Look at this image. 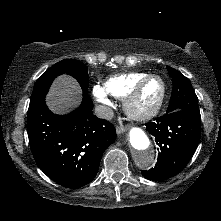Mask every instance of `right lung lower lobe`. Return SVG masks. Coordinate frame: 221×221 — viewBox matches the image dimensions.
Instances as JSON below:
<instances>
[{
    "label": "right lung lower lobe",
    "mask_w": 221,
    "mask_h": 221,
    "mask_svg": "<svg viewBox=\"0 0 221 221\" xmlns=\"http://www.w3.org/2000/svg\"><path fill=\"white\" fill-rule=\"evenodd\" d=\"M83 92L81 105L68 115H56L43 99L28 113L27 132L38 167L56 183L79 188L96 176L101 157L116 139L112 124L92 112Z\"/></svg>",
    "instance_id": "98d812e1"
}]
</instances>
